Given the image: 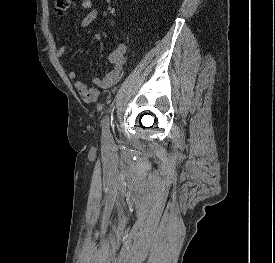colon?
I'll list each match as a JSON object with an SVG mask.
<instances>
[{
    "mask_svg": "<svg viewBox=\"0 0 275 263\" xmlns=\"http://www.w3.org/2000/svg\"><path fill=\"white\" fill-rule=\"evenodd\" d=\"M75 0H53L54 10L58 14H64Z\"/></svg>",
    "mask_w": 275,
    "mask_h": 263,
    "instance_id": "5ec220e1",
    "label": "colon"
}]
</instances>
